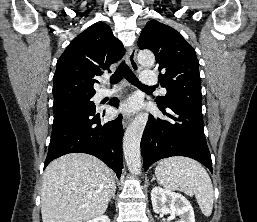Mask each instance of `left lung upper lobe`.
<instances>
[{"instance_id": "left-lung-upper-lobe-1", "label": "left lung upper lobe", "mask_w": 257, "mask_h": 222, "mask_svg": "<svg viewBox=\"0 0 257 222\" xmlns=\"http://www.w3.org/2000/svg\"><path fill=\"white\" fill-rule=\"evenodd\" d=\"M140 49H150L156 57L161 86L167 89L166 96L158 102L166 106L177 101L201 108L199 63L195 50L172 27L156 20L149 21L138 40Z\"/></svg>"}]
</instances>
